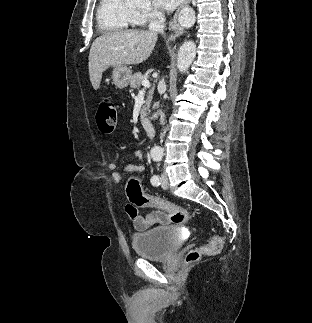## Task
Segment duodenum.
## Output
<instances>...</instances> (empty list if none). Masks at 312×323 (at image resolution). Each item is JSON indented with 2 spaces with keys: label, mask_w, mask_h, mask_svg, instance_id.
I'll list each match as a JSON object with an SVG mask.
<instances>
[{
  "label": "duodenum",
  "mask_w": 312,
  "mask_h": 323,
  "mask_svg": "<svg viewBox=\"0 0 312 323\" xmlns=\"http://www.w3.org/2000/svg\"><path fill=\"white\" fill-rule=\"evenodd\" d=\"M140 126L142 128V130L144 131V133L148 136H152L153 135V128L152 125L150 123V120L145 117L142 116L139 120Z\"/></svg>",
  "instance_id": "410a0bca"
}]
</instances>
